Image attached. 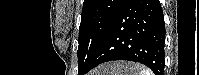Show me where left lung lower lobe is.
Segmentation results:
<instances>
[{
  "mask_svg": "<svg viewBox=\"0 0 199 75\" xmlns=\"http://www.w3.org/2000/svg\"><path fill=\"white\" fill-rule=\"evenodd\" d=\"M165 22L158 0H124L84 75L114 60L140 62L155 75L164 72Z\"/></svg>",
  "mask_w": 199,
  "mask_h": 75,
  "instance_id": "obj_1",
  "label": "left lung lower lobe"
}]
</instances>
